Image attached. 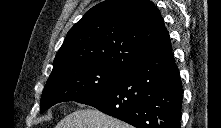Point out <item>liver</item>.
<instances>
[{"instance_id":"liver-1","label":"liver","mask_w":221,"mask_h":128,"mask_svg":"<svg viewBox=\"0 0 221 128\" xmlns=\"http://www.w3.org/2000/svg\"><path fill=\"white\" fill-rule=\"evenodd\" d=\"M55 128H132L127 123L93 108L79 109L64 117Z\"/></svg>"}]
</instances>
